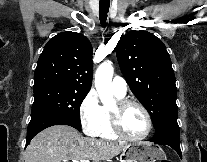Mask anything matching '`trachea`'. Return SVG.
Returning <instances> with one entry per match:
<instances>
[{"mask_svg":"<svg viewBox=\"0 0 207 162\" xmlns=\"http://www.w3.org/2000/svg\"><path fill=\"white\" fill-rule=\"evenodd\" d=\"M110 0H100V22L101 25H104L107 19V14L109 11Z\"/></svg>","mask_w":207,"mask_h":162,"instance_id":"trachea-1","label":"trachea"}]
</instances>
